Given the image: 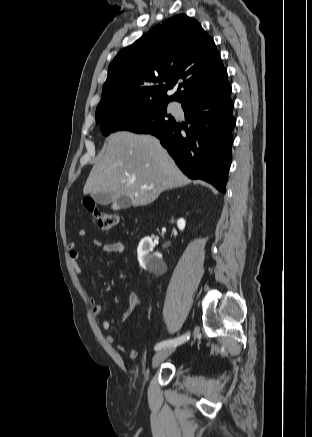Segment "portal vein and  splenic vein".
Segmentation results:
<instances>
[{"mask_svg":"<svg viewBox=\"0 0 312 437\" xmlns=\"http://www.w3.org/2000/svg\"><path fill=\"white\" fill-rule=\"evenodd\" d=\"M130 183H134V179L130 180ZM144 189H153V187H144Z\"/></svg>","mask_w":312,"mask_h":437,"instance_id":"1","label":"portal vein and splenic vein"}]
</instances>
